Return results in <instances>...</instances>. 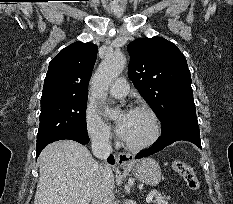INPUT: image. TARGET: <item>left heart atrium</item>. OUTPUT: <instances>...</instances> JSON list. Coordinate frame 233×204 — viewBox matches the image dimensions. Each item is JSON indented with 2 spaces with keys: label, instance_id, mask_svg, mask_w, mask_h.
Segmentation results:
<instances>
[{
  "label": "left heart atrium",
  "instance_id": "left-heart-atrium-1",
  "mask_svg": "<svg viewBox=\"0 0 233 204\" xmlns=\"http://www.w3.org/2000/svg\"><path fill=\"white\" fill-rule=\"evenodd\" d=\"M126 115H127V113L123 114V118L118 122L117 127H116L119 136L122 137V138L125 135Z\"/></svg>",
  "mask_w": 233,
  "mask_h": 204
}]
</instances>
